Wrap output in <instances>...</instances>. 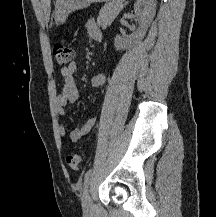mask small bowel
I'll return each instance as SVG.
<instances>
[{"mask_svg": "<svg viewBox=\"0 0 216 217\" xmlns=\"http://www.w3.org/2000/svg\"><path fill=\"white\" fill-rule=\"evenodd\" d=\"M86 27L89 36L94 41L102 40V33L93 20H88V22L86 23ZM76 69H77V65L75 62H71L67 67H63L60 69V74L63 78V88L61 92L58 94V96L56 97L55 106H56L57 113L61 116L65 115L67 105L75 103L80 98V93L75 83ZM105 82H106L105 74L99 73L91 79V86L93 88H97L102 86ZM95 122H96L95 118H90L82 126L73 129L69 134L70 140L72 142H77L83 139L91 131V129L95 125ZM58 129H59V135L62 138H65L66 129L64 125L60 124Z\"/></svg>", "mask_w": 216, "mask_h": 217, "instance_id": "small-bowel-1", "label": "small bowel"}]
</instances>
